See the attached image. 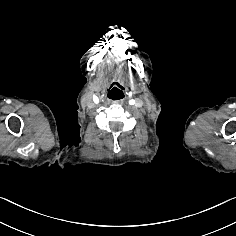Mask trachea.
<instances>
[{"instance_id":"obj_1","label":"trachea","mask_w":236,"mask_h":236,"mask_svg":"<svg viewBox=\"0 0 236 236\" xmlns=\"http://www.w3.org/2000/svg\"><path fill=\"white\" fill-rule=\"evenodd\" d=\"M125 96V93L123 90H121L119 87H114L113 90L109 91L107 94V98L109 101L114 102L116 100H121Z\"/></svg>"}]
</instances>
